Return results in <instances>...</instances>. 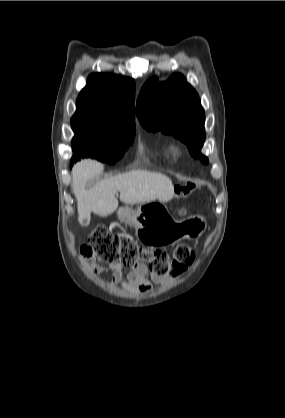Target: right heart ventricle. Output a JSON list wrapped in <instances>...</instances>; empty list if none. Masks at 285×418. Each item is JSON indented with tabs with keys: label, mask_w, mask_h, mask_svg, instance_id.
Instances as JSON below:
<instances>
[{
	"label": "right heart ventricle",
	"mask_w": 285,
	"mask_h": 418,
	"mask_svg": "<svg viewBox=\"0 0 285 418\" xmlns=\"http://www.w3.org/2000/svg\"><path fill=\"white\" fill-rule=\"evenodd\" d=\"M145 149H146L145 145L144 144H140V146H139L140 152H144Z\"/></svg>",
	"instance_id": "1"
}]
</instances>
